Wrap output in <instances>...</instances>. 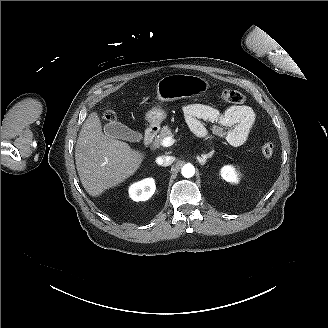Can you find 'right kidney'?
<instances>
[{"label": "right kidney", "instance_id": "ca27d5eb", "mask_svg": "<svg viewBox=\"0 0 328 328\" xmlns=\"http://www.w3.org/2000/svg\"><path fill=\"white\" fill-rule=\"evenodd\" d=\"M156 186L153 178H145L141 181L133 183L129 187V197L133 201H146L155 192Z\"/></svg>", "mask_w": 328, "mask_h": 328}]
</instances>
